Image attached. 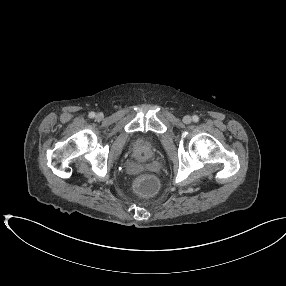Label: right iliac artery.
<instances>
[{
  "label": "right iliac artery",
  "instance_id": "right-iliac-artery-1",
  "mask_svg": "<svg viewBox=\"0 0 286 286\" xmlns=\"http://www.w3.org/2000/svg\"><path fill=\"white\" fill-rule=\"evenodd\" d=\"M89 117H90V118L95 117V113H94V112H90V113H89Z\"/></svg>",
  "mask_w": 286,
  "mask_h": 286
}]
</instances>
